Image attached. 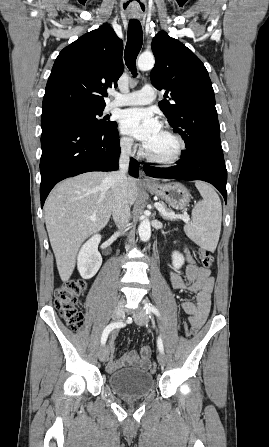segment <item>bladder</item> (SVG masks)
<instances>
[{
	"instance_id": "bladder-1",
	"label": "bladder",
	"mask_w": 269,
	"mask_h": 447,
	"mask_svg": "<svg viewBox=\"0 0 269 447\" xmlns=\"http://www.w3.org/2000/svg\"><path fill=\"white\" fill-rule=\"evenodd\" d=\"M108 385L125 398H141L154 388L153 373L147 370L126 368L108 374Z\"/></svg>"
}]
</instances>
